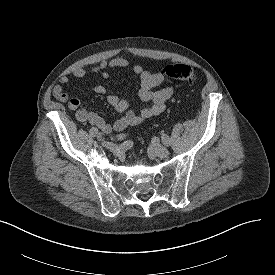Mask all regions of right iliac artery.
Wrapping results in <instances>:
<instances>
[{"label":"right iliac artery","mask_w":275,"mask_h":275,"mask_svg":"<svg viewBox=\"0 0 275 275\" xmlns=\"http://www.w3.org/2000/svg\"><path fill=\"white\" fill-rule=\"evenodd\" d=\"M89 133H90V135L91 136H93V137H95V136H97L98 135V129L96 128V127H92L90 130H89ZM125 135H119V139H123V137H124Z\"/></svg>","instance_id":"1"}]
</instances>
